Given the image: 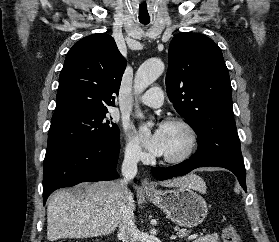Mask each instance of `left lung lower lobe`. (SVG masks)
Listing matches in <instances>:
<instances>
[{"mask_svg":"<svg viewBox=\"0 0 279 242\" xmlns=\"http://www.w3.org/2000/svg\"><path fill=\"white\" fill-rule=\"evenodd\" d=\"M206 166L223 167L230 170L236 175L242 188L245 191H247L245 167L227 160H208L191 158L171 167L152 168V174L158 180H166L172 177L185 175L196 168Z\"/></svg>","mask_w":279,"mask_h":242,"instance_id":"obj_1","label":"left lung lower lobe"}]
</instances>
